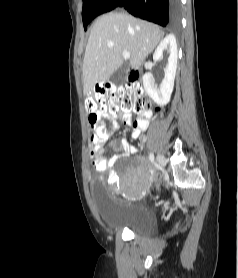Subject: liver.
I'll list each match as a JSON object with an SVG mask.
<instances>
[{
    "label": "liver",
    "instance_id": "liver-1",
    "mask_svg": "<svg viewBox=\"0 0 238 278\" xmlns=\"http://www.w3.org/2000/svg\"><path fill=\"white\" fill-rule=\"evenodd\" d=\"M157 25L120 12H110L93 24L83 60V90L90 92L106 82L130 53V66L138 69L163 38Z\"/></svg>",
    "mask_w": 238,
    "mask_h": 278
}]
</instances>
